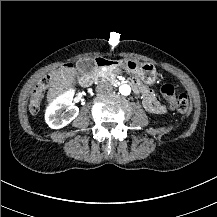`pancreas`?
Listing matches in <instances>:
<instances>
[{
	"instance_id": "cf45deb5",
	"label": "pancreas",
	"mask_w": 217,
	"mask_h": 217,
	"mask_svg": "<svg viewBox=\"0 0 217 217\" xmlns=\"http://www.w3.org/2000/svg\"><path fill=\"white\" fill-rule=\"evenodd\" d=\"M121 73H122V70L119 69V68H116V69H107V70H105L103 72V75H104L105 79L115 82L114 77H116L117 75H119Z\"/></svg>"
}]
</instances>
